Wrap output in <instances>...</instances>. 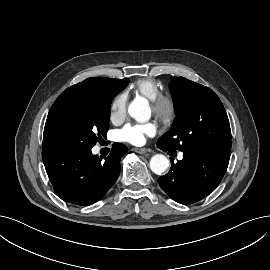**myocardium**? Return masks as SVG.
<instances>
[{
    "label": "myocardium",
    "mask_w": 270,
    "mask_h": 270,
    "mask_svg": "<svg viewBox=\"0 0 270 270\" xmlns=\"http://www.w3.org/2000/svg\"><path fill=\"white\" fill-rule=\"evenodd\" d=\"M153 114L164 124H170L176 116V102L169 94H159L151 100Z\"/></svg>",
    "instance_id": "f54148a6"
}]
</instances>
